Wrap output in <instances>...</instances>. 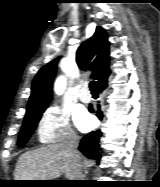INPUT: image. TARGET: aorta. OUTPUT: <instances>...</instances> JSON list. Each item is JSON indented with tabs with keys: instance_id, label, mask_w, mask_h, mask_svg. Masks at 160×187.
I'll return each mask as SVG.
<instances>
[{
	"instance_id": "1",
	"label": "aorta",
	"mask_w": 160,
	"mask_h": 187,
	"mask_svg": "<svg viewBox=\"0 0 160 187\" xmlns=\"http://www.w3.org/2000/svg\"><path fill=\"white\" fill-rule=\"evenodd\" d=\"M66 88V78L64 76H60L57 78L54 90L57 94H62Z\"/></svg>"
}]
</instances>
